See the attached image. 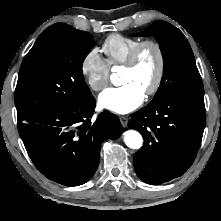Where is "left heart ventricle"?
I'll list each match as a JSON object with an SVG mask.
<instances>
[{"instance_id":"b2bd125f","label":"left heart ventricle","mask_w":221,"mask_h":221,"mask_svg":"<svg viewBox=\"0 0 221 221\" xmlns=\"http://www.w3.org/2000/svg\"><path fill=\"white\" fill-rule=\"evenodd\" d=\"M157 71V55L153 48L147 47L141 54L138 64L133 69L124 68L121 81L135 83L144 92L151 86Z\"/></svg>"}]
</instances>
